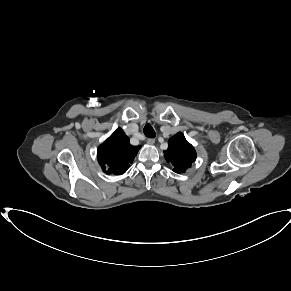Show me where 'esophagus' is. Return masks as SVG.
I'll use <instances>...</instances> for the list:
<instances>
[{
	"instance_id": "esophagus-1",
	"label": "esophagus",
	"mask_w": 291,
	"mask_h": 291,
	"mask_svg": "<svg viewBox=\"0 0 291 291\" xmlns=\"http://www.w3.org/2000/svg\"><path fill=\"white\" fill-rule=\"evenodd\" d=\"M154 143H155V139H153V138H149L147 140V144H149V145H153Z\"/></svg>"
}]
</instances>
